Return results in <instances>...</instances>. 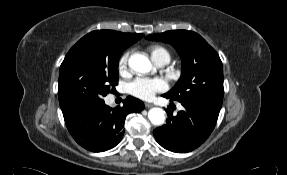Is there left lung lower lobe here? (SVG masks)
I'll use <instances>...</instances> for the list:
<instances>
[{"instance_id":"obj_1","label":"left lung lower lobe","mask_w":287,"mask_h":175,"mask_svg":"<svg viewBox=\"0 0 287 175\" xmlns=\"http://www.w3.org/2000/svg\"><path fill=\"white\" fill-rule=\"evenodd\" d=\"M162 96L168 98L165 94ZM180 103L184 109L176 116H173L172 110H166L167 123L156 128L153 135L163 148L176 153H187L199 147L209 137L218 117L200 106Z\"/></svg>"}]
</instances>
